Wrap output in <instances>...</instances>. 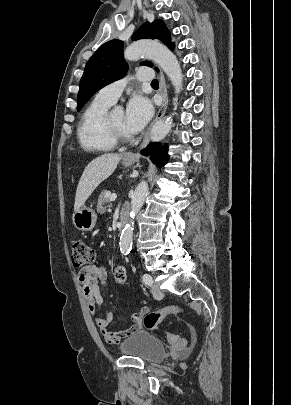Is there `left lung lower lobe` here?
I'll return each instance as SVG.
<instances>
[{
    "label": "left lung lower lobe",
    "instance_id": "obj_1",
    "mask_svg": "<svg viewBox=\"0 0 291 405\" xmlns=\"http://www.w3.org/2000/svg\"><path fill=\"white\" fill-rule=\"evenodd\" d=\"M174 49V45L170 48ZM168 146L162 145L158 142L150 143L145 149L141 150V154L144 156H149L153 163L157 166L162 167L168 162L169 156L167 154Z\"/></svg>",
    "mask_w": 291,
    "mask_h": 405
}]
</instances>
